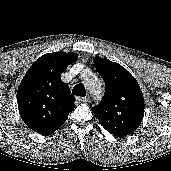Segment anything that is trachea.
<instances>
[{
	"label": "trachea",
	"instance_id": "trachea-1",
	"mask_svg": "<svg viewBox=\"0 0 171 171\" xmlns=\"http://www.w3.org/2000/svg\"><path fill=\"white\" fill-rule=\"evenodd\" d=\"M72 92H73V94H75L77 96H81V97H85V95H86L84 86L81 84L75 85Z\"/></svg>",
	"mask_w": 171,
	"mask_h": 171
}]
</instances>
